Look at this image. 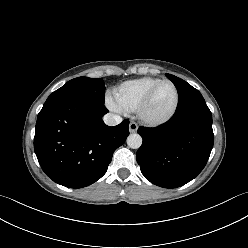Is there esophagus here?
<instances>
[{"instance_id":"1","label":"esophagus","mask_w":248,"mask_h":248,"mask_svg":"<svg viewBox=\"0 0 248 248\" xmlns=\"http://www.w3.org/2000/svg\"><path fill=\"white\" fill-rule=\"evenodd\" d=\"M138 129V125L135 122H130L129 131L130 133H135Z\"/></svg>"}]
</instances>
